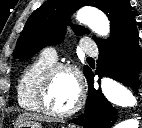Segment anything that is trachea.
<instances>
[{"mask_svg":"<svg viewBox=\"0 0 142 128\" xmlns=\"http://www.w3.org/2000/svg\"><path fill=\"white\" fill-rule=\"evenodd\" d=\"M87 59H88V60H92V58H91V57H88Z\"/></svg>","mask_w":142,"mask_h":128,"instance_id":"obj_1","label":"trachea"}]
</instances>
